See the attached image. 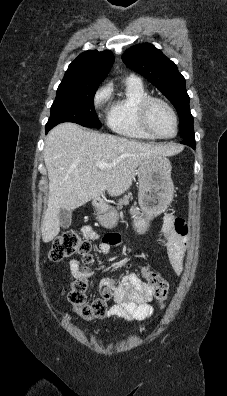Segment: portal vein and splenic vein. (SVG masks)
<instances>
[{"mask_svg":"<svg viewBox=\"0 0 227 396\" xmlns=\"http://www.w3.org/2000/svg\"><path fill=\"white\" fill-rule=\"evenodd\" d=\"M96 166H97L99 169H105V168H107V167H110L111 164H108V163H105V162H98V163L96 164Z\"/></svg>","mask_w":227,"mask_h":396,"instance_id":"18ae733b","label":"portal vein and splenic vein"}]
</instances>
